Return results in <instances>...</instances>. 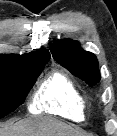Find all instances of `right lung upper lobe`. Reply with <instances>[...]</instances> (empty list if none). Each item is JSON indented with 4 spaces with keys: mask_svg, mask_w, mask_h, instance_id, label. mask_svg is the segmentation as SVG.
Returning a JSON list of instances; mask_svg holds the SVG:
<instances>
[{
    "mask_svg": "<svg viewBox=\"0 0 117 136\" xmlns=\"http://www.w3.org/2000/svg\"><path fill=\"white\" fill-rule=\"evenodd\" d=\"M50 54L46 49H40L38 51L30 52L24 55L15 54H0V63H14V64H31L37 60L48 59Z\"/></svg>",
    "mask_w": 117,
    "mask_h": 136,
    "instance_id": "cb5924a9",
    "label": "right lung upper lobe"
}]
</instances>
